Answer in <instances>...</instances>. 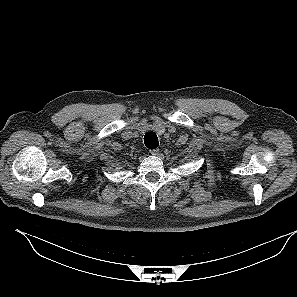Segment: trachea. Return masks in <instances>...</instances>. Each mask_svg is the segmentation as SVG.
Listing matches in <instances>:
<instances>
[{
	"label": "trachea",
	"mask_w": 297,
	"mask_h": 297,
	"mask_svg": "<svg viewBox=\"0 0 297 297\" xmlns=\"http://www.w3.org/2000/svg\"><path fill=\"white\" fill-rule=\"evenodd\" d=\"M145 146L149 149H155L158 147V137L154 132H147L144 136Z\"/></svg>",
	"instance_id": "trachea-1"
}]
</instances>
